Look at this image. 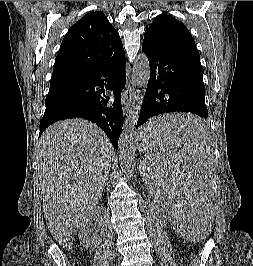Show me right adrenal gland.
I'll return each mask as SVG.
<instances>
[{"instance_id": "2a0ac1e0", "label": "right adrenal gland", "mask_w": 253, "mask_h": 266, "mask_svg": "<svg viewBox=\"0 0 253 266\" xmlns=\"http://www.w3.org/2000/svg\"><path fill=\"white\" fill-rule=\"evenodd\" d=\"M109 179L108 175L106 176L105 182H104V186H106L107 184V180Z\"/></svg>"}]
</instances>
